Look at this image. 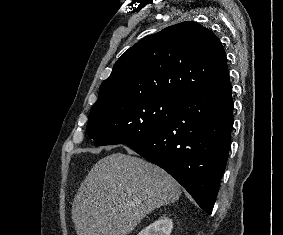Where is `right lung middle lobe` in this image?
Masks as SVG:
<instances>
[{"mask_svg":"<svg viewBox=\"0 0 283 235\" xmlns=\"http://www.w3.org/2000/svg\"><path fill=\"white\" fill-rule=\"evenodd\" d=\"M177 99L131 97L92 107L87 133L96 145L137 141L164 126L172 117Z\"/></svg>","mask_w":283,"mask_h":235,"instance_id":"obj_1","label":"right lung middle lobe"}]
</instances>
